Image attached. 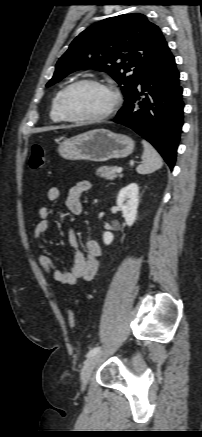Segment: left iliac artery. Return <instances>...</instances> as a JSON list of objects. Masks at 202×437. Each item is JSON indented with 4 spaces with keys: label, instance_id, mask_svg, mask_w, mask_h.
<instances>
[{
    "label": "left iliac artery",
    "instance_id": "left-iliac-artery-1",
    "mask_svg": "<svg viewBox=\"0 0 202 437\" xmlns=\"http://www.w3.org/2000/svg\"><path fill=\"white\" fill-rule=\"evenodd\" d=\"M99 351L100 347H94L87 353V357L90 358L91 356L97 354Z\"/></svg>",
    "mask_w": 202,
    "mask_h": 437
}]
</instances>
